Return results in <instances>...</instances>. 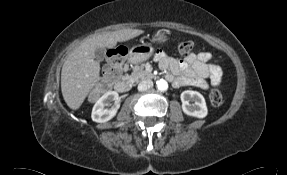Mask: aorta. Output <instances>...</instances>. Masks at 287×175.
Wrapping results in <instances>:
<instances>
[{
	"mask_svg": "<svg viewBox=\"0 0 287 175\" xmlns=\"http://www.w3.org/2000/svg\"><path fill=\"white\" fill-rule=\"evenodd\" d=\"M156 84H157L158 90H160V91H166V90L168 89V83H167V81L164 80V79L158 80V81L156 82Z\"/></svg>",
	"mask_w": 287,
	"mask_h": 175,
	"instance_id": "aorta-1",
	"label": "aorta"
}]
</instances>
